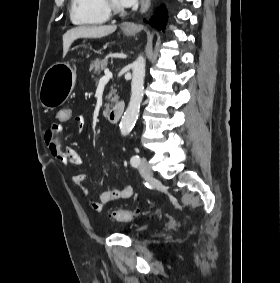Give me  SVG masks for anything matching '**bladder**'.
<instances>
[{
    "instance_id": "1",
    "label": "bladder",
    "mask_w": 280,
    "mask_h": 283,
    "mask_svg": "<svg viewBox=\"0 0 280 283\" xmlns=\"http://www.w3.org/2000/svg\"><path fill=\"white\" fill-rule=\"evenodd\" d=\"M147 226H141V227H137V228H134L132 231H130V233L132 235H138L140 232L146 230Z\"/></svg>"
}]
</instances>
